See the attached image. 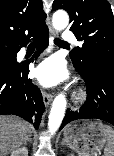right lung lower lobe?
<instances>
[{
  "mask_svg": "<svg viewBox=\"0 0 114 156\" xmlns=\"http://www.w3.org/2000/svg\"><path fill=\"white\" fill-rule=\"evenodd\" d=\"M33 37L37 44L38 55L49 44V32L47 26L40 28L30 37L11 46L15 54L30 42ZM29 64L18 65L9 73H0V115L13 114L33 123L38 128L43 111L45 109L42 95L39 89L28 79Z\"/></svg>",
  "mask_w": 114,
  "mask_h": 156,
  "instance_id": "98d812e1",
  "label": "right lung lower lobe"
}]
</instances>
